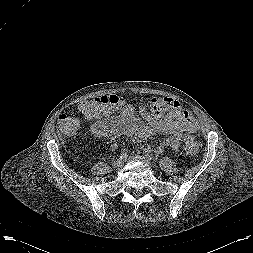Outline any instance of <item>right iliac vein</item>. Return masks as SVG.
Segmentation results:
<instances>
[{
    "label": "right iliac vein",
    "mask_w": 253,
    "mask_h": 253,
    "mask_svg": "<svg viewBox=\"0 0 253 253\" xmlns=\"http://www.w3.org/2000/svg\"><path fill=\"white\" fill-rule=\"evenodd\" d=\"M123 164H124V161L120 158H117V159L113 160V162H112V165L116 168L122 167Z\"/></svg>",
    "instance_id": "obj_1"
}]
</instances>
